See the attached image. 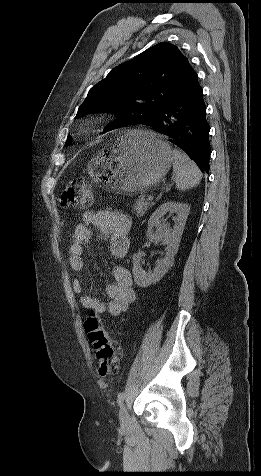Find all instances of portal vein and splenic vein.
<instances>
[{"mask_svg":"<svg viewBox=\"0 0 261 476\" xmlns=\"http://www.w3.org/2000/svg\"><path fill=\"white\" fill-rule=\"evenodd\" d=\"M153 199H154L153 195H151V194L148 195V197H147V200H148V201H152Z\"/></svg>","mask_w":261,"mask_h":476,"instance_id":"obj_1","label":"portal vein and splenic vein"}]
</instances>
